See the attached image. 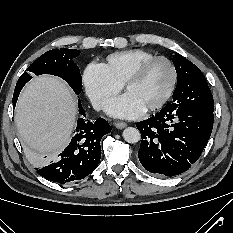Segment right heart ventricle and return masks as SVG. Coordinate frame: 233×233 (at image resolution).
<instances>
[{
  "label": "right heart ventricle",
  "instance_id": "obj_1",
  "mask_svg": "<svg viewBox=\"0 0 233 233\" xmlns=\"http://www.w3.org/2000/svg\"><path fill=\"white\" fill-rule=\"evenodd\" d=\"M153 57L154 54L143 49H128L110 54L104 66L116 82L123 84L138 65Z\"/></svg>",
  "mask_w": 233,
  "mask_h": 233
}]
</instances>
